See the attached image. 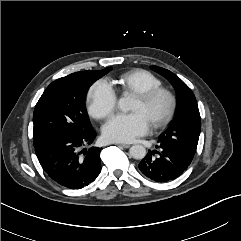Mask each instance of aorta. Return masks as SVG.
Wrapping results in <instances>:
<instances>
[{
	"label": "aorta",
	"mask_w": 241,
	"mask_h": 241,
	"mask_svg": "<svg viewBox=\"0 0 241 241\" xmlns=\"http://www.w3.org/2000/svg\"><path fill=\"white\" fill-rule=\"evenodd\" d=\"M118 105L122 111H129L132 108V99L128 96L122 97L119 99ZM129 154L132 158L140 160L145 157L146 149L143 145L136 144L130 147Z\"/></svg>",
	"instance_id": "1"
}]
</instances>
